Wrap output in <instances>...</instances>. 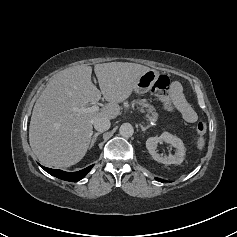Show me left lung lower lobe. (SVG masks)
I'll return each mask as SVG.
<instances>
[{
    "mask_svg": "<svg viewBox=\"0 0 237 237\" xmlns=\"http://www.w3.org/2000/svg\"><path fill=\"white\" fill-rule=\"evenodd\" d=\"M156 180H158V181H160V182H163V180L162 179H160V178H155Z\"/></svg>",
    "mask_w": 237,
    "mask_h": 237,
    "instance_id": "left-lung-lower-lobe-1",
    "label": "left lung lower lobe"
}]
</instances>
